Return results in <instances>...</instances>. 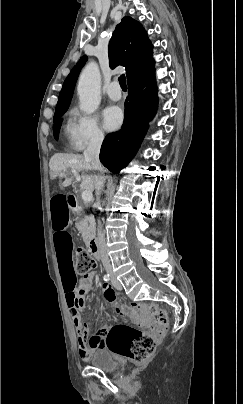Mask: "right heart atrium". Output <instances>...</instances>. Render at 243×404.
<instances>
[{
	"label": "right heart atrium",
	"instance_id": "1",
	"mask_svg": "<svg viewBox=\"0 0 243 404\" xmlns=\"http://www.w3.org/2000/svg\"><path fill=\"white\" fill-rule=\"evenodd\" d=\"M105 135L93 114L82 113L73 107L66 124V143L72 152H81L89 147L100 146Z\"/></svg>",
	"mask_w": 243,
	"mask_h": 404
}]
</instances>
